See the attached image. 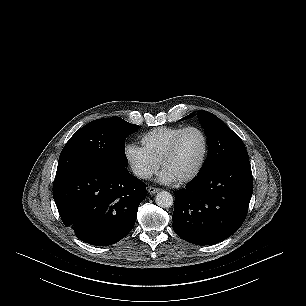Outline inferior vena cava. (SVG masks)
I'll return each instance as SVG.
<instances>
[{"mask_svg": "<svg viewBox=\"0 0 306 306\" xmlns=\"http://www.w3.org/2000/svg\"><path fill=\"white\" fill-rule=\"evenodd\" d=\"M133 172L136 176L142 178V179H147L151 177V173L145 169V168H134Z\"/></svg>", "mask_w": 306, "mask_h": 306, "instance_id": "obj_1", "label": "inferior vena cava"}]
</instances>
